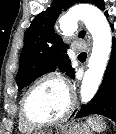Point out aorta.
Instances as JSON below:
<instances>
[{"label": "aorta", "instance_id": "1", "mask_svg": "<svg viewBox=\"0 0 116 134\" xmlns=\"http://www.w3.org/2000/svg\"><path fill=\"white\" fill-rule=\"evenodd\" d=\"M82 20L93 37L92 53L88 69L81 85V100L89 102L96 94L102 81L112 45L111 29L104 14L88 4L71 8L59 21L61 30L73 29Z\"/></svg>", "mask_w": 116, "mask_h": 134}]
</instances>
